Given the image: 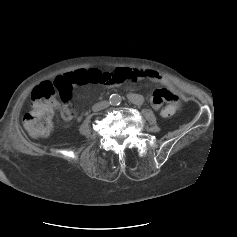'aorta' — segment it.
Here are the masks:
<instances>
[{
	"label": "aorta",
	"instance_id": "762f6f07",
	"mask_svg": "<svg viewBox=\"0 0 237 237\" xmlns=\"http://www.w3.org/2000/svg\"><path fill=\"white\" fill-rule=\"evenodd\" d=\"M110 104L119 105L122 101L121 96L118 94H112L109 98Z\"/></svg>",
	"mask_w": 237,
	"mask_h": 237
}]
</instances>
